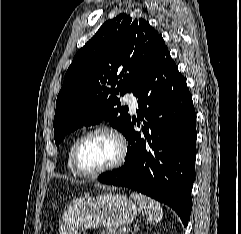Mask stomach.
<instances>
[{"instance_id":"stomach-1","label":"stomach","mask_w":241,"mask_h":234,"mask_svg":"<svg viewBox=\"0 0 241 234\" xmlns=\"http://www.w3.org/2000/svg\"><path fill=\"white\" fill-rule=\"evenodd\" d=\"M137 212L136 204L121 194L85 195L75 199L67 209L60 234H81L96 227L116 229L131 223Z\"/></svg>"}]
</instances>
